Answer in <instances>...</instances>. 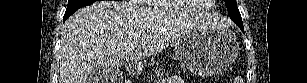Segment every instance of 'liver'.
I'll list each match as a JSON object with an SVG mask.
<instances>
[{
    "mask_svg": "<svg viewBox=\"0 0 307 83\" xmlns=\"http://www.w3.org/2000/svg\"><path fill=\"white\" fill-rule=\"evenodd\" d=\"M217 21L208 13L145 10L123 1L95 2L64 23L59 83H88L89 72L98 66L119 69L130 61L143 67V59Z\"/></svg>",
    "mask_w": 307,
    "mask_h": 83,
    "instance_id": "liver-1",
    "label": "liver"
}]
</instances>
